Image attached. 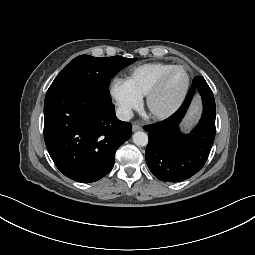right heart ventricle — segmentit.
Returning <instances> with one entry per match:
<instances>
[{
  "label": "right heart ventricle",
  "mask_w": 255,
  "mask_h": 255,
  "mask_svg": "<svg viewBox=\"0 0 255 255\" xmlns=\"http://www.w3.org/2000/svg\"><path fill=\"white\" fill-rule=\"evenodd\" d=\"M173 66L161 62L140 65L130 72L126 82L139 96H145L160 76Z\"/></svg>",
  "instance_id": "obj_1"
}]
</instances>
